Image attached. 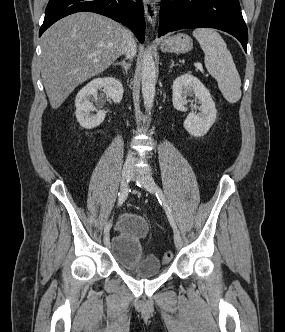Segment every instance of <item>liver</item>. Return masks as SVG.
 I'll return each mask as SVG.
<instances>
[{
	"label": "liver",
	"instance_id": "obj_1",
	"mask_svg": "<svg viewBox=\"0 0 285 332\" xmlns=\"http://www.w3.org/2000/svg\"><path fill=\"white\" fill-rule=\"evenodd\" d=\"M128 31L105 16L79 12L42 35L41 76L53 109L81 83L105 71L126 52Z\"/></svg>",
	"mask_w": 285,
	"mask_h": 332
}]
</instances>
